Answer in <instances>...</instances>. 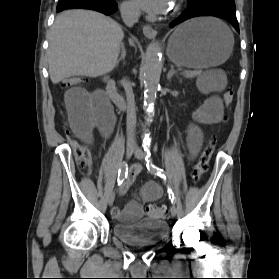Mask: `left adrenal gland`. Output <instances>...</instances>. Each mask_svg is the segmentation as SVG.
Masks as SVG:
<instances>
[{"instance_id": "left-adrenal-gland-1", "label": "left adrenal gland", "mask_w": 279, "mask_h": 279, "mask_svg": "<svg viewBox=\"0 0 279 279\" xmlns=\"http://www.w3.org/2000/svg\"><path fill=\"white\" fill-rule=\"evenodd\" d=\"M173 76H176V77L178 78V74H177V72L174 70V66L171 65V69H170V71H169L168 74H167V80H168V81H171V79H172Z\"/></svg>"}]
</instances>
